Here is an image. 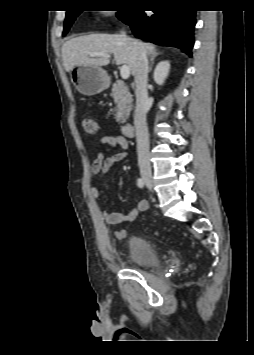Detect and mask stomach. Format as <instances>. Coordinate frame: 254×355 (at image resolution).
I'll use <instances>...</instances> for the list:
<instances>
[{
    "label": "stomach",
    "mask_w": 254,
    "mask_h": 355,
    "mask_svg": "<svg viewBox=\"0 0 254 355\" xmlns=\"http://www.w3.org/2000/svg\"><path fill=\"white\" fill-rule=\"evenodd\" d=\"M70 80L83 95L92 96L102 92L109 86L106 71L94 65H78L70 71Z\"/></svg>",
    "instance_id": "stomach-1"
}]
</instances>
